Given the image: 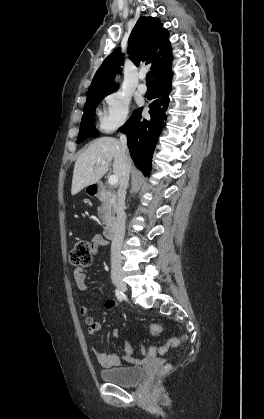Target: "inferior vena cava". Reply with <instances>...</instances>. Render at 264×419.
Instances as JSON below:
<instances>
[{
    "label": "inferior vena cava",
    "mask_w": 264,
    "mask_h": 419,
    "mask_svg": "<svg viewBox=\"0 0 264 419\" xmlns=\"http://www.w3.org/2000/svg\"><path fill=\"white\" fill-rule=\"evenodd\" d=\"M120 142L122 147V157H123V176L121 180V184L118 190V198H117V207H116V223L114 225V235L112 238L111 244V267L112 270H120L122 257H121V246L124 239L125 233V212H124V203H125V195L126 189L128 186L129 181V174L131 169V160L127 148V137L126 135L122 134L120 136Z\"/></svg>",
    "instance_id": "inferior-vena-cava-1"
}]
</instances>
